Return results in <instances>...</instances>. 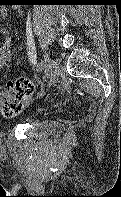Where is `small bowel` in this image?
<instances>
[{
    "label": "small bowel",
    "mask_w": 121,
    "mask_h": 197,
    "mask_svg": "<svg viewBox=\"0 0 121 197\" xmlns=\"http://www.w3.org/2000/svg\"><path fill=\"white\" fill-rule=\"evenodd\" d=\"M5 16H7V10L5 8H0V17ZM0 34L3 37L0 47V67H7L12 61L13 39L6 28H1ZM42 94L43 92L38 93V95Z\"/></svg>",
    "instance_id": "c3829d8e"
}]
</instances>
